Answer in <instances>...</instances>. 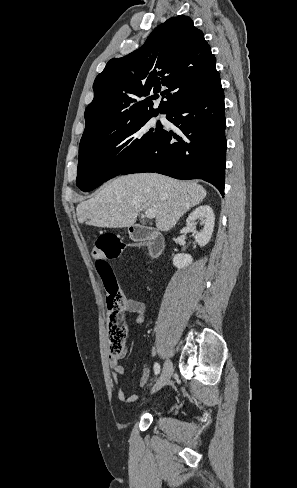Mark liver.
Returning a JSON list of instances; mask_svg holds the SVG:
<instances>
[{
    "label": "liver",
    "mask_w": 297,
    "mask_h": 488,
    "mask_svg": "<svg viewBox=\"0 0 297 488\" xmlns=\"http://www.w3.org/2000/svg\"><path fill=\"white\" fill-rule=\"evenodd\" d=\"M203 186L158 173L119 176L104 184L89 200L77 205L79 223L123 228L136 222L138 213L156 210V226L170 230L191 207L206 197Z\"/></svg>",
    "instance_id": "obj_1"
}]
</instances>
